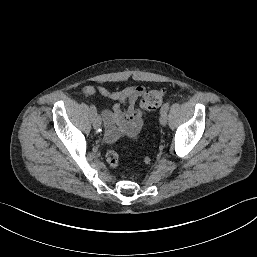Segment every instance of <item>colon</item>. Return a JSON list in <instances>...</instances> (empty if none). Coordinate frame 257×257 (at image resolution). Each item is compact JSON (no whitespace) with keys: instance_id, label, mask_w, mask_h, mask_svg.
<instances>
[{"instance_id":"colon-1","label":"colon","mask_w":257,"mask_h":257,"mask_svg":"<svg viewBox=\"0 0 257 257\" xmlns=\"http://www.w3.org/2000/svg\"><path fill=\"white\" fill-rule=\"evenodd\" d=\"M164 99V91L163 90H152L148 91L144 94L141 100V107L145 110L152 111L157 109L163 102ZM107 163L116 168L119 165V156L117 152L110 148L106 151L105 155ZM146 162L149 163L150 159L147 158Z\"/></svg>"}]
</instances>
